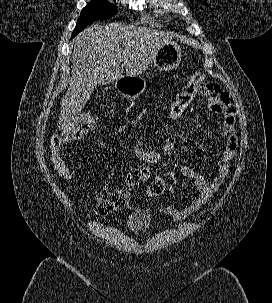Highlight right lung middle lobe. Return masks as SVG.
I'll use <instances>...</instances> for the list:
<instances>
[{
    "label": "right lung middle lobe",
    "mask_w": 272,
    "mask_h": 303,
    "mask_svg": "<svg viewBox=\"0 0 272 303\" xmlns=\"http://www.w3.org/2000/svg\"><path fill=\"white\" fill-rule=\"evenodd\" d=\"M117 13L114 5L106 0H91L81 11L78 23L72 33V38L81 32L87 25L97 20L111 18Z\"/></svg>",
    "instance_id": "1"
}]
</instances>
